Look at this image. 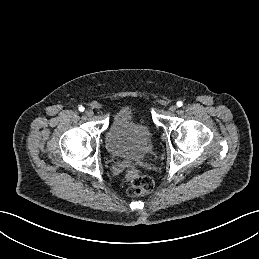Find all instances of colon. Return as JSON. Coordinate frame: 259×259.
<instances>
[{
	"label": "colon",
	"instance_id": "1",
	"mask_svg": "<svg viewBox=\"0 0 259 259\" xmlns=\"http://www.w3.org/2000/svg\"><path fill=\"white\" fill-rule=\"evenodd\" d=\"M125 181L127 183V192L130 196L138 197L150 193L154 188V182L151 177L141 173L136 165L128 167L125 172Z\"/></svg>",
	"mask_w": 259,
	"mask_h": 259
}]
</instances>
